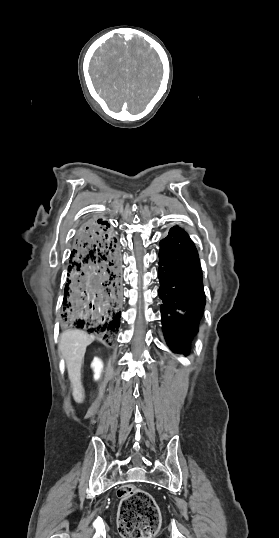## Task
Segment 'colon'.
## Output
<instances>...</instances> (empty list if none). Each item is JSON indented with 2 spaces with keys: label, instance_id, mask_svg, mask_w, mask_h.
<instances>
[{
  "label": "colon",
  "instance_id": "1",
  "mask_svg": "<svg viewBox=\"0 0 279 538\" xmlns=\"http://www.w3.org/2000/svg\"><path fill=\"white\" fill-rule=\"evenodd\" d=\"M118 495L119 531L125 538H152L160 526L159 509L149 493L124 485Z\"/></svg>",
  "mask_w": 279,
  "mask_h": 538
}]
</instances>
